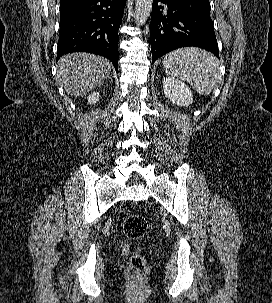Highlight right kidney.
Returning <instances> with one entry per match:
<instances>
[{
	"label": "right kidney",
	"instance_id": "ca27d5eb",
	"mask_svg": "<svg viewBox=\"0 0 272 303\" xmlns=\"http://www.w3.org/2000/svg\"><path fill=\"white\" fill-rule=\"evenodd\" d=\"M99 97H100L99 92H93L87 98L88 104H95L97 101H99Z\"/></svg>",
	"mask_w": 272,
	"mask_h": 303
}]
</instances>
